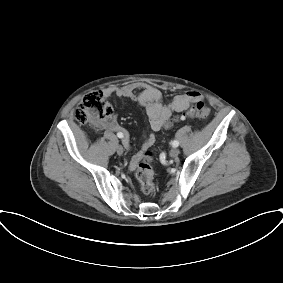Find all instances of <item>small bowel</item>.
<instances>
[{
  "mask_svg": "<svg viewBox=\"0 0 283 283\" xmlns=\"http://www.w3.org/2000/svg\"><path fill=\"white\" fill-rule=\"evenodd\" d=\"M105 97L115 95L118 98H126L138 101L145 109L149 125L152 131H159L164 123L171 117L174 112L186 110L191 105L202 100L200 93L196 91H187L173 97L169 104H165L159 88L148 84H130L123 87H108L103 91ZM106 128L111 132H121L125 134L124 144L129 147L128 135L125 129L117 122L116 116L112 115L106 124ZM153 134L148 135L142 145L141 151L133 156L129 170L133 171L140 161L142 154L154 143Z\"/></svg>",
  "mask_w": 283,
  "mask_h": 283,
  "instance_id": "obj_1",
  "label": "small bowel"
}]
</instances>
